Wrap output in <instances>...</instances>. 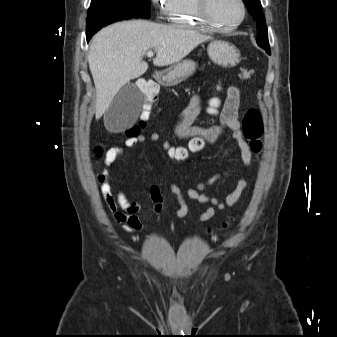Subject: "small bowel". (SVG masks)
I'll list each match as a JSON object with an SVG mask.
<instances>
[{"label": "small bowel", "instance_id": "1", "mask_svg": "<svg viewBox=\"0 0 337 337\" xmlns=\"http://www.w3.org/2000/svg\"><path fill=\"white\" fill-rule=\"evenodd\" d=\"M239 107L240 91L237 87L231 86L227 89L226 99L223 104L220 107L211 108L219 110L220 123L212 126H196L193 124L194 118L204 109L202 98L196 97L175 122L173 134L180 140H203L204 143L214 144L219 142L226 132H230L232 140L239 148L242 163L248 167L252 164L253 153L247 142L243 139L240 131ZM160 139V135L156 132L148 137V140L152 143L158 142ZM146 140L147 138L144 135L139 134L127 138L125 146L127 148H134ZM163 144L169 143L164 142ZM122 154V147L114 146L109 148L104 157V169L99 173L97 179L101 187L104 203L112 213L115 222L120 224L125 232L134 233L141 231L143 228V224L138 216L141 205L137 200L130 199L122 189L114 190L109 170L110 166L114 164ZM165 179L169 181L167 177H165ZM221 179L222 175L216 174L206 181L194 184L187 191L189 198L192 200L209 205V207L199 215L198 221L200 223H205L212 219L217 210H226L234 206L240 200L247 186L246 180L240 179L236 187L223 198L202 193L203 190L216 184ZM169 182L170 189L179 204L176 218L183 219L188 214V205L180 187L171 181ZM150 198L154 204V213L159 215L163 210V198L158 185H152L150 187Z\"/></svg>", "mask_w": 337, "mask_h": 337}]
</instances>
